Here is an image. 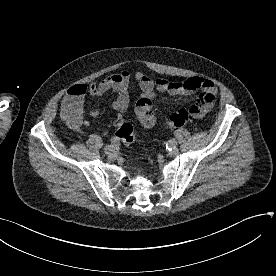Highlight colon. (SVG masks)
Wrapping results in <instances>:
<instances>
[{
  "label": "colon",
  "mask_w": 276,
  "mask_h": 276,
  "mask_svg": "<svg viewBox=\"0 0 276 276\" xmlns=\"http://www.w3.org/2000/svg\"><path fill=\"white\" fill-rule=\"evenodd\" d=\"M137 109L146 125L152 126L158 121V115L155 110V98L153 96L139 99L137 102ZM199 112L200 109L195 103H189L171 115L164 116L162 120L166 126L178 128L191 122L197 117ZM64 117L68 121L74 122L77 118V111L68 109L64 112ZM115 134L125 146L129 147L132 145L134 141V129L130 123L123 119L118 120Z\"/></svg>",
  "instance_id": "5ec220e1"
}]
</instances>
